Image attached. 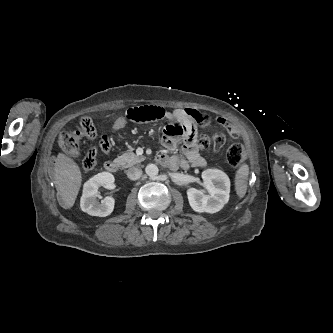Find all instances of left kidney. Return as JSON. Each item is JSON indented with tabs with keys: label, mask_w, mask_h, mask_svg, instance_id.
<instances>
[{
	"label": "left kidney",
	"mask_w": 333,
	"mask_h": 333,
	"mask_svg": "<svg viewBox=\"0 0 333 333\" xmlns=\"http://www.w3.org/2000/svg\"><path fill=\"white\" fill-rule=\"evenodd\" d=\"M202 179L208 195L203 190L189 188L188 201L191 208L198 213H216L229 200L230 179L223 171L207 169L202 172Z\"/></svg>",
	"instance_id": "left-kidney-1"
}]
</instances>
